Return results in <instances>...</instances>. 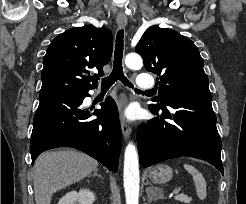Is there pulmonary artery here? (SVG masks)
I'll list each match as a JSON object with an SVG mask.
<instances>
[{
  "mask_svg": "<svg viewBox=\"0 0 246 204\" xmlns=\"http://www.w3.org/2000/svg\"><path fill=\"white\" fill-rule=\"evenodd\" d=\"M137 87L141 90H148L154 87V79L147 73H141L137 77Z\"/></svg>",
  "mask_w": 246,
  "mask_h": 204,
  "instance_id": "1",
  "label": "pulmonary artery"
}]
</instances>
